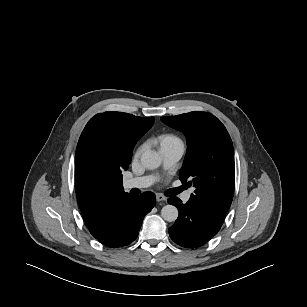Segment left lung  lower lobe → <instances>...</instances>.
Here are the masks:
<instances>
[{
  "label": "left lung lower lobe",
  "instance_id": "0a47b994",
  "mask_svg": "<svg viewBox=\"0 0 307 307\" xmlns=\"http://www.w3.org/2000/svg\"><path fill=\"white\" fill-rule=\"evenodd\" d=\"M168 202L179 210L178 219L169 228L171 239L182 247L196 248L209 241L220 230L219 223L197 210L192 204H183L177 197Z\"/></svg>",
  "mask_w": 307,
  "mask_h": 307
}]
</instances>
